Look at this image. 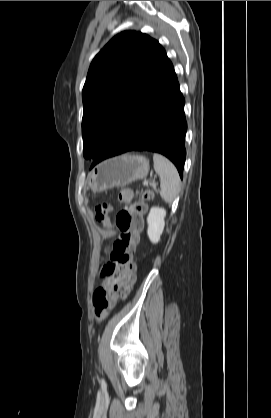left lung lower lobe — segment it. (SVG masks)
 <instances>
[{"instance_id": "left-lung-lower-lobe-1", "label": "left lung lower lobe", "mask_w": 271, "mask_h": 418, "mask_svg": "<svg viewBox=\"0 0 271 418\" xmlns=\"http://www.w3.org/2000/svg\"><path fill=\"white\" fill-rule=\"evenodd\" d=\"M184 104L169 60L94 158L91 168L128 151H152L169 158L182 178L187 131Z\"/></svg>"}]
</instances>
